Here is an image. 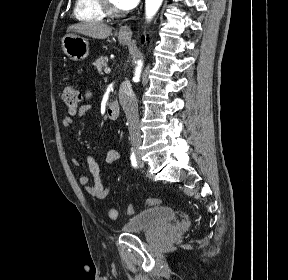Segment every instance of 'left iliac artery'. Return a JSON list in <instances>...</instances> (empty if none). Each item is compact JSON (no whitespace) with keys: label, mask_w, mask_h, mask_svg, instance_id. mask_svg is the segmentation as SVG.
<instances>
[{"label":"left iliac artery","mask_w":288,"mask_h":280,"mask_svg":"<svg viewBox=\"0 0 288 280\" xmlns=\"http://www.w3.org/2000/svg\"><path fill=\"white\" fill-rule=\"evenodd\" d=\"M130 160H131V165H132L134 168H136V167H137L136 157L130 156Z\"/></svg>","instance_id":"obj_1"}]
</instances>
